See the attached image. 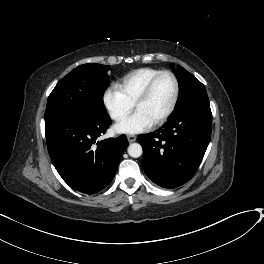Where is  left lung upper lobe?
Masks as SVG:
<instances>
[{
    "instance_id": "5c2ea615",
    "label": "left lung upper lobe",
    "mask_w": 264,
    "mask_h": 264,
    "mask_svg": "<svg viewBox=\"0 0 264 264\" xmlns=\"http://www.w3.org/2000/svg\"><path fill=\"white\" fill-rule=\"evenodd\" d=\"M174 73L178 80L180 91L173 113L194 100L208 99L204 85L195 76L181 66H178Z\"/></svg>"
}]
</instances>
